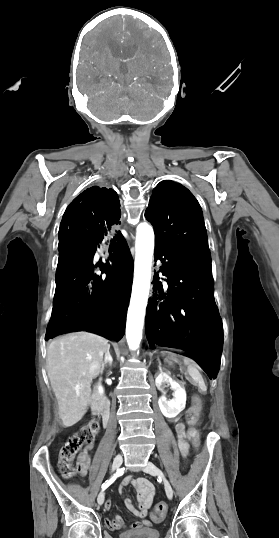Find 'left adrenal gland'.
<instances>
[{
    "label": "left adrenal gland",
    "mask_w": 279,
    "mask_h": 538,
    "mask_svg": "<svg viewBox=\"0 0 279 538\" xmlns=\"http://www.w3.org/2000/svg\"><path fill=\"white\" fill-rule=\"evenodd\" d=\"M158 362H159V366H158V368H160V366H161V362H160V360H158Z\"/></svg>",
    "instance_id": "1"
}]
</instances>
